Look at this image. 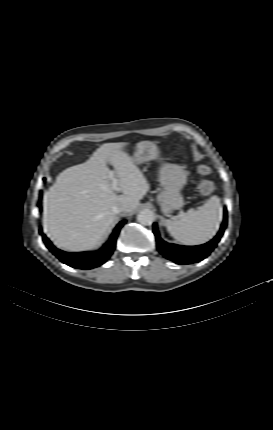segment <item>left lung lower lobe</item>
<instances>
[{
	"label": "left lung lower lobe",
	"instance_id": "1",
	"mask_svg": "<svg viewBox=\"0 0 273 430\" xmlns=\"http://www.w3.org/2000/svg\"><path fill=\"white\" fill-rule=\"evenodd\" d=\"M226 226L227 210L225 208L223 223L221 225L220 231L213 240L206 244L199 246H182L167 243L160 238L156 223L153 224V233L156 237L157 248L165 258L172 260L177 264H191L203 260L213 251L222 237Z\"/></svg>",
	"mask_w": 273,
	"mask_h": 430
}]
</instances>
